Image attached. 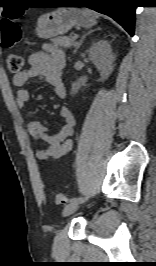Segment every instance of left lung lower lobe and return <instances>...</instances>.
I'll return each mask as SVG.
<instances>
[{"mask_svg": "<svg viewBox=\"0 0 156 266\" xmlns=\"http://www.w3.org/2000/svg\"><path fill=\"white\" fill-rule=\"evenodd\" d=\"M57 3H65L58 1ZM66 3L89 7L117 21L131 36L134 35L135 0H69Z\"/></svg>", "mask_w": 156, "mask_h": 266, "instance_id": "obj_1", "label": "left lung lower lobe"}]
</instances>
